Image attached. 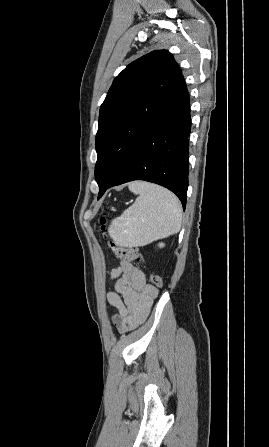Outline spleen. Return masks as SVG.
<instances>
[{
    "label": "spleen",
    "mask_w": 269,
    "mask_h": 447,
    "mask_svg": "<svg viewBox=\"0 0 269 447\" xmlns=\"http://www.w3.org/2000/svg\"><path fill=\"white\" fill-rule=\"evenodd\" d=\"M128 188L133 194H138V198L108 227V233L116 245H147L181 229L182 208L172 192L140 180L130 182Z\"/></svg>",
    "instance_id": "obj_1"
}]
</instances>
